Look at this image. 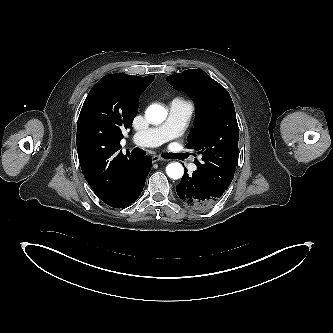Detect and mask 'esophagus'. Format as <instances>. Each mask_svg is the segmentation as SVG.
<instances>
[{
	"label": "esophagus",
	"instance_id": "34e87169",
	"mask_svg": "<svg viewBox=\"0 0 333 333\" xmlns=\"http://www.w3.org/2000/svg\"><path fill=\"white\" fill-rule=\"evenodd\" d=\"M164 159L158 155L152 156V161L153 162H158V161H163Z\"/></svg>",
	"mask_w": 333,
	"mask_h": 333
}]
</instances>
